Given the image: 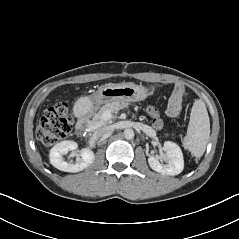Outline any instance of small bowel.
<instances>
[{
	"instance_id": "c3829d8e",
	"label": "small bowel",
	"mask_w": 239,
	"mask_h": 239,
	"mask_svg": "<svg viewBox=\"0 0 239 239\" xmlns=\"http://www.w3.org/2000/svg\"><path fill=\"white\" fill-rule=\"evenodd\" d=\"M181 102H182V88L177 87L168 103L167 110H166L167 114L170 117L176 118L179 116L181 112Z\"/></svg>"
}]
</instances>
